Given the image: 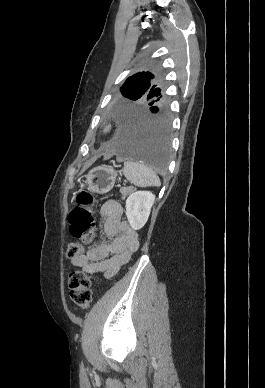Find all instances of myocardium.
Segmentation results:
<instances>
[{"label": "myocardium", "instance_id": "myocardium-1", "mask_svg": "<svg viewBox=\"0 0 265 388\" xmlns=\"http://www.w3.org/2000/svg\"><path fill=\"white\" fill-rule=\"evenodd\" d=\"M109 130H110L109 127H106V128H105V132H106V133L109 132Z\"/></svg>", "mask_w": 265, "mask_h": 388}]
</instances>
